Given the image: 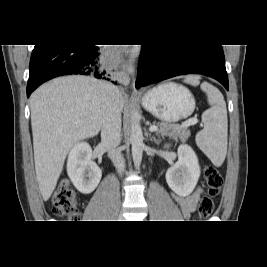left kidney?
I'll list each match as a JSON object with an SVG mask.
<instances>
[{
    "mask_svg": "<svg viewBox=\"0 0 267 267\" xmlns=\"http://www.w3.org/2000/svg\"><path fill=\"white\" fill-rule=\"evenodd\" d=\"M169 147V145H166ZM178 161L166 172L169 187L179 196L190 195L200 177V166L194 150L182 144L178 147Z\"/></svg>",
    "mask_w": 267,
    "mask_h": 267,
    "instance_id": "5707ae66",
    "label": "left kidney"
}]
</instances>
